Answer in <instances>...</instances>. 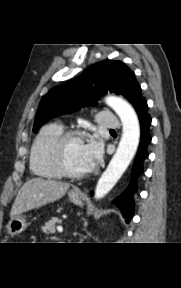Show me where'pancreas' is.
<instances>
[{"label": "pancreas", "mask_w": 181, "mask_h": 288, "mask_svg": "<svg viewBox=\"0 0 181 288\" xmlns=\"http://www.w3.org/2000/svg\"><path fill=\"white\" fill-rule=\"evenodd\" d=\"M62 221L56 217H52L50 220H48L45 225L42 227V231L46 234H53L55 233V225L57 223H61Z\"/></svg>", "instance_id": "pancreas-1"}]
</instances>
